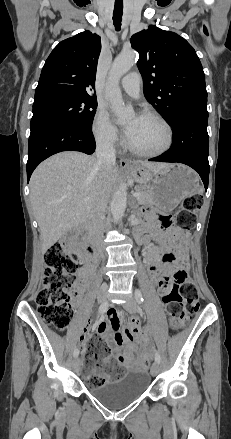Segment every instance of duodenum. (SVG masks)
<instances>
[{"mask_svg":"<svg viewBox=\"0 0 231 439\" xmlns=\"http://www.w3.org/2000/svg\"><path fill=\"white\" fill-rule=\"evenodd\" d=\"M80 232H81V229L79 227H76L73 230V234L74 235H79ZM87 250H88V252L90 254V261L91 262H95L97 260V257L95 255L93 242H91L90 244H87Z\"/></svg>","mask_w":231,"mask_h":439,"instance_id":"obj_1","label":"duodenum"}]
</instances>
